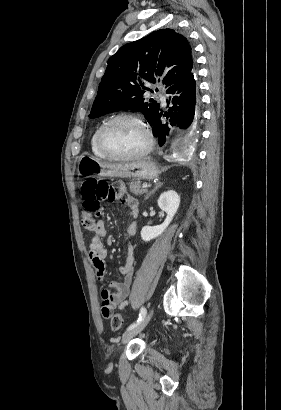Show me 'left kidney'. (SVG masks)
Wrapping results in <instances>:
<instances>
[{
  "mask_svg": "<svg viewBox=\"0 0 281 410\" xmlns=\"http://www.w3.org/2000/svg\"><path fill=\"white\" fill-rule=\"evenodd\" d=\"M180 205V196L173 190L162 193L158 199V206L161 210L167 213L166 219L158 226H144L141 230V238L148 242L160 236L168 227L176 214Z\"/></svg>",
  "mask_w": 281,
  "mask_h": 410,
  "instance_id": "obj_1",
  "label": "left kidney"
}]
</instances>
